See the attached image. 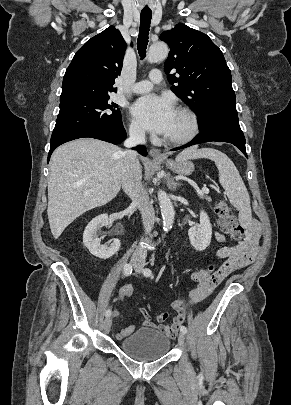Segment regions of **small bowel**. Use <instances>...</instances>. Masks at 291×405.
<instances>
[{"label":"small bowel","instance_id":"1","mask_svg":"<svg viewBox=\"0 0 291 405\" xmlns=\"http://www.w3.org/2000/svg\"><path fill=\"white\" fill-rule=\"evenodd\" d=\"M215 239L218 242L225 240L224 236L220 233H215ZM260 240V225L257 222H252L248 228L245 239L234 245L224 246L220 248L215 256L217 259H223L224 262L221 267L216 271L214 277L207 282L199 283V285L190 291L189 297L192 303H199L205 300L213 290L232 272L241 269L251 264L259 251ZM184 300L177 299L172 303L173 308L177 311V316L169 320V313L163 312L157 316V322L150 319L147 311L143 308L139 309L141 315L140 322L143 326L159 329L167 337H174L179 326L185 320V312L183 310ZM113 317L120 315L119 309H114L112 312ZM136 329V325H129L118 333L116 338L122 340L132 334Z\"/></svg>","mask_w":291,"mask_h":405}]
</instances>
